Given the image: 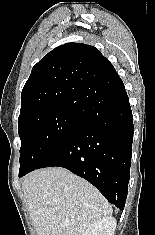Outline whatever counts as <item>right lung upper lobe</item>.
I'll use <instances>...</instances> for the list:
<instances>
[{"instance_id":"cb5924a9","label":"right lung upper lobe","mask_w":155,"mask_h":235,"mask_svg":"<svg viewBox=\"0 0 155 235\" xmlns=\"http://www.w3.org/2000/svg\"><path fill=\"white\" fill-rule=\"evenodd\" d=\"M116 79H120L116 70L94 46L66 43L50 51L32 68L22 90L20 116L48 105L80 113L91 88Z\"/></svg>"}]
</instances>
